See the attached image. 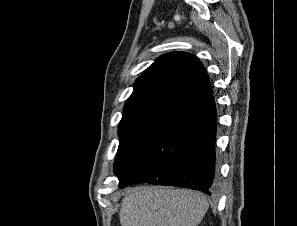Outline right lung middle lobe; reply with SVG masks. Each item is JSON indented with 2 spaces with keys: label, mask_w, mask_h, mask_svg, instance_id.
Segmentation results:
<instances>
[{
  "label": "right lung middle lobe",
  "mask_w": 297,
  "mask_h": 226,
  "mask_svg": "<svg viewBox=\"0 0 297 226\" xmlns=\"http://www.w3.org/2000/svg\"><path fill=\"white\" fill-rule=\"evenodd\" d=\"M168 120V117L147 116L119 123L120 143L114 163V171L118 179L135 165Z\"/></svg>",
  "instance_id": "dd1d6c3e"
}]
</instances>
